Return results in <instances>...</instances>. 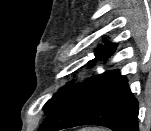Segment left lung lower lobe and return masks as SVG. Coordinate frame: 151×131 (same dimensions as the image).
<instances>
[{"label": "left lung lower lobe", "mask_w": 151, "mask_h": 131, "mask_svg": "<svg viewBox=\"0 0 151 131\" xmlns=\"http://www.w3.org/2000/svg\"><path fill=\"white\" fill-rule=\"evenodd\" d=\"M138 102L117 71L74 84L61 104L47 115L38 131L99 125L113 131H139Z\"/></svg>", "instance_id": "left-lung-lower-lobe-1"}]
</instances>
